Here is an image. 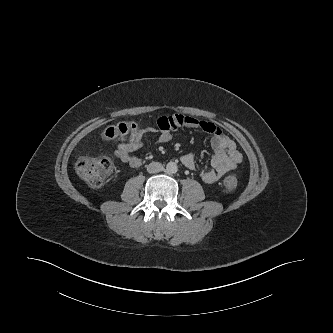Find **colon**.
Segmentation results:
<instances>
[{
	"instance_id": "colon-1",
	"label": "colon",
	"mask_w": 333,
	"mask_h": 333,
	"mask_svg": "<svg viewBox=\"0 0 333 333\" xmlns=\"http://www.w3.org/2000/svg\"><path fill=\"white\" fill-rule=\"evenodd\" d=\"M140 131L134 122H122L105 129L103 136L106 140H125ZM113 163L105 156L81 157L76 163L77 174L91 187H100L113 173ZM239 180L235 175H226L223 185L228 190L238 186Z\"/></svg>"
}]
</instances>
